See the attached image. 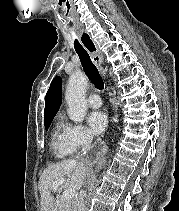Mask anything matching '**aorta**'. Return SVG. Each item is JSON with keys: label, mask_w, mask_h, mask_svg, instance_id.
Here are the masks:
<instances>
[{"label": "aorta", "mask_w": 179, "mask_h": 211, "mask_svg": "<svg viewBox=\"0 0 179 211\" xmlns=\"http://www.w3.org/2000/svg\"><path fill=\"white\" fill-rule=\"evenodd\" d=\"M87 85V76L79 72L71 75L67 84L65 99L68 105V116L76 123L81 122L86 114L85 93ZM103 164L104 160L99 163V167L101 168Z\"/></svg>", "instance_id": "aorta-1"}]
</instances>
